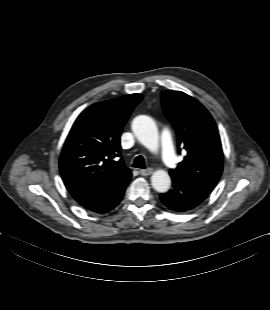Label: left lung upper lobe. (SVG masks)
<instances>
[{
  "label": "left lung upper lobe",
  "mask_w": 270,
  "mask_h": 310,
  "mask_svg": "<svg viewBox=\"0 0 270 310\" xmlns=\"http://www.w3.org/2000/svg\"><path fill=\"white\" fill-rule=\"evenodd\" d=\"M161 99L164 112L175 127L178 145L187 151L170 175L215 187L223 169V152L212 116L196 99L183 92L162 91Z\"/></svg>",
  "instance_id": "obj_1"
}]
</instances>
